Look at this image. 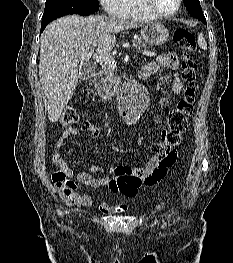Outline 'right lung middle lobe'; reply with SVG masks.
Segmentation results:
<instances>
[{
  "label": "right lung middle lobe",
  "instance_id": "obj_1",
  "mask_svg": "<svg viewBox=\"0 0 233 263\" xmlns=\"http://www.w3.org/2000/svg\"><path fill=\"white\" fill-rule=\"evenodd\" d=\"M98 9V0H47L42 22H50L68 14H93Z\"/></svg>",
  "mask_w": 233,
  "mask_h": 263
}]
</instances>
